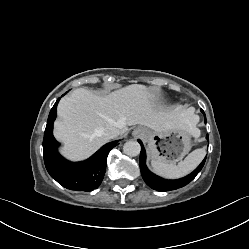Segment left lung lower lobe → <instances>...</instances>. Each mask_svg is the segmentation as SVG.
<instances>
[{
  "mask_svg": "<svg viewBox=\"0 0 249 249\" xmlns=\"http://www.w3.org/2000/svg\"><path fill=\"white\" fill-rule=\"evenodd\" d=\"M203 112V111H202ZM204 116L205 113L203 112ZM205 123H206V116H205ZM208 139V135L206 137ZM139 143L141 144V153H140V170L142 177L146 184L150 186L152 189L157 190V191H170V190H175L178 188H181L188 183H190L196 175L201 171L202 167L204 166L206 158L201 162V164L189 175H187L184 178L177 179V180H166L163 179L152 172H150L146 166V152L143 147V144L140 140H138Z\"/></svg>",
  "mask_w": 249,
  "mask_h": 249,
  "instance_id": "left-lung-lower-lobe-1",
  "label": "left lung lower lobe"
}]
</instances>
